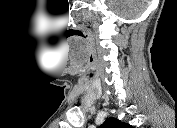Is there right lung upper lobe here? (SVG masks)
<instances>
[{
	"label": "right lung upper lobe",
	"instance_id": "obj_1",
	"mask_svg": "<svg viewBox=\"0 0 177 128\" xmlns=\"http://www.w3.org/2000/svg\"><path fill=\"white\" fill-rule=\"evenodd\" d=\"M102 128H131L132 126L110 117L101 125Z\"/></svg>",
	"mask_w": 177,
	"mask_h": 128
}]
</instances>
